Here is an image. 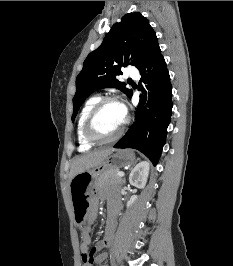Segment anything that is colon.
<instances>
[{"instance_id":"colon-1","label":"colon","mask_w":233,"mask_h":266,"mask_svg":"<svg viewBox=\"0 0 233 266\" xmlns=\"http://www.w3.org/2000/svg\"><path fill=\"white\" fill-rule=\"evenodd\" d=\"M92 260V255L90 253H85L82 256V261L84 264H89Z\"/></svg>"}]
</instances>
